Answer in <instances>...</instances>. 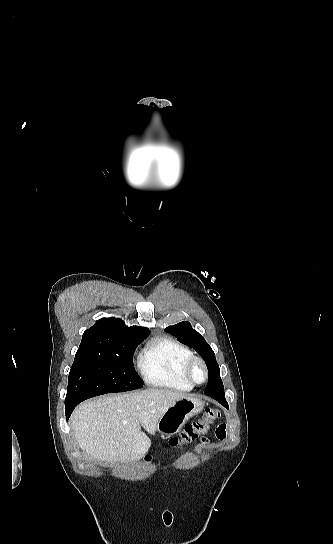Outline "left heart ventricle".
Wrapping results in <instances>:
<instances>
[{
    "label": "left heart ventricle",
    "instance_id": "1",
    "mask_svg": "<svg viewBox=\"0 0 333 544\" xmlns=\"http://www.w3.org/2000/svg\"><path fill=\"white\" fill-rule=\"evenodd\" d=\"M193 377L196 381H202L204 377L203 369L200 366H196L193 370Z\"/></svg>",
    "mask_w": 333,
    "mask_h": 544
}]
</instances>
